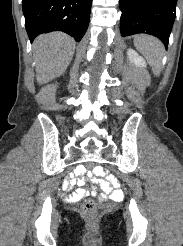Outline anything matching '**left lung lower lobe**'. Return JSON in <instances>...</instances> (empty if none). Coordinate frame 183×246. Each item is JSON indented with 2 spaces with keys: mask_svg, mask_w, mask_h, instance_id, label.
Masks as SVG:
<instances>
[{
  "mask_svg": "<svg viewBox=\"0 0 183 246\" xmlns=\"http://www.w3.org/2000/svg\"><path fill=\"white\" fill-rule=\"evenodd\" d=\"M177 0H120L122 36L146 33L159 38L165 47L176 17Z\"/></svg>",
  "mask_w": 183,
  "mask_h": 246,
  "instance_id": "1",
  "label": "left lung lower lobe"
}]
</instances>
